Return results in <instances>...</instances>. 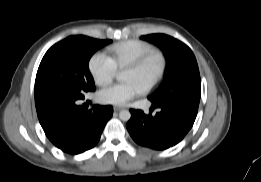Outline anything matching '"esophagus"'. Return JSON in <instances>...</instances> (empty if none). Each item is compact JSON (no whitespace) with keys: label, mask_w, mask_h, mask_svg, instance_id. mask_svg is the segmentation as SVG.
I'll return each instance as SVG.
<instances>
[{"label":"esophagus","mask_w":261,"mask_h":182,"mask_svg":"<svg viewBox=\"0 0 261 182\" xmlns=\"http://www.w3.org/2000/svg\"><path fill=\"white\" fill-rule=\"evenodd\" d=\"M124 109V107L115 106L114 111L118 112L120 110Z\"/></svg>","instance_id":"esophagus-1"}]
</instances>
